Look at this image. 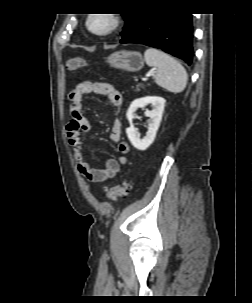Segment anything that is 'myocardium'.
<instances>
[{"label": "myocardium", "instance_id": "1", "mask_svg": "<svg viewBox=\"0 0 252 303\" xmlns=\"http://www.w3.org/2000/svg\"><path fill=\"white\" fill-rule=\"evenodd\" d=\"M97 19H105L106 24L103 27H95L94 21ZM121 19L117 14H91L86 18L85 25L89 32L94 35L104 36L112 33L120 26Z\"/></svg>", "mask_w": 252, "mask_h": 303}]
</instances>
